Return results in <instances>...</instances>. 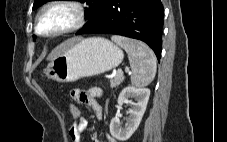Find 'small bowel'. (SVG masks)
<instances>
[{
  "label": "small bowel",
  "mask_w": 227,
  "mask_h": 142,
  "mask_svg": "<svg viewBox=\"0 0 227 142\" xmlns=\"http://www.w3.org/2000/svg\"><path fill=\"white\" fill-rule=\"evenodd\" d=\"M72 99L80 104H86L90 106L98 119L103 118V109L102 106L98 103L97 98L102 97V91L99 88H89V89H73L71 91ZM88 122L84 118L79 123H73L69 129V136L72 142H81L82 133L87 128ZM108 142H117L110 135H107ZM93 142H99L97 134H94L92 137Z\"/></svg>",
  "instance_id": "c3829d8e"
}]
</instances>
